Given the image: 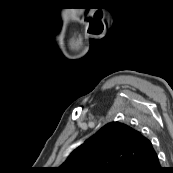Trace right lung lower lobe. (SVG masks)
Listing matches in <instances>:
<instances>
[{"label":"right lung lower lobe","instance_id":"1","mask_svg":"<svg viewBox=\"0 0 173 173\" xmlns=\"http://www.w3.org/2000/svg\"><path fill=\"white\" fill-rule=\"evenodd\" d=\"M123 173H162L157 153L136 160Z\"/></svg>","mask_w":173,"mask_h":173}]
</instances>
